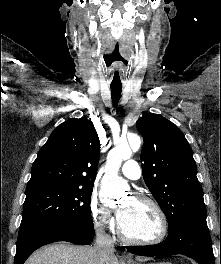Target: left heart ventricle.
I'll return each instance as SVG.
<instances>
[{
  "label": "left heart ventricle",
  "instance_id": "1",
  "mask_svg": "<svg viewBox=\"0 0 221 264\" xmlns=\"http://www.w3.org/2000/svg\"><path fill=\"white\" fill-rule=\"evenodd\" d=\"M121 208L127 211L121 226L129 237L148 240L159 234L160 220L152 206L129 198L122 203Z\"/></svg>",
  "mask_w": 221,
  "mask_h": 264
}]
</instances>
